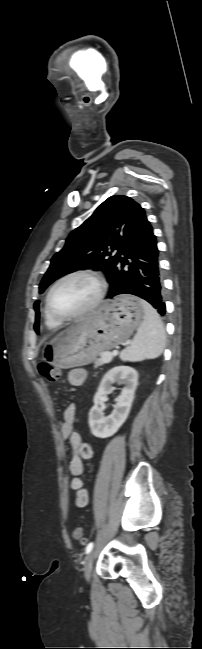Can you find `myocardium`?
<instances>
[{"label": "myocardium", "mask_w": 202, "mask_h": 649, "mask_svg": "<svg viewBox=\"0 0 202 649\" xmlns=\"http://www.w3.org/2000/svg\"><path fill=\"white\" fill-rule=\"evenodd\" d=\"M74 276H85V277H88V278L92 279L96 283L97 294H96L95 298L93 299V301L89 305H87L85 308L80 310L79 312H77L75 314H72V315H69V316H61V315L57 314L53 310V308L51 306V297H52L53 292L55 291V289L57 288V286L59 284H61L63 281H65V280H67V279H69L71 277H74ZM107 287L108 286H107V281H106L105 277L100 272H98L96 270L86 269V268L72 270L70 272L65 273L61 277H59L52 284V286L49 288V290L47 292V295H46V298H45L46 311H47V313L49 314V316L52 319H54L55 321L60 322V323L76 320V319H78V318L92 312L95 308H97L99 306V304L102 302V300L104 299V297H105V295L107 293Z\"/></svg>", "instance_id": "1"}]
</instances>
